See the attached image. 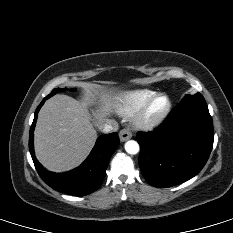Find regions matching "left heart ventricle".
Wrapping results in <instances>:
<instances>
[{
	"mask_svg": "<svg viewBox=\"0 0 233 233\" xmlns=\"http://www.w3.org/2000/svg\"><path fill=\"white\" fill-rule=\"evenodd\" d=\"M166 100L164 98L157 99L151 106L149 110V117L155 118L157 117L165 108Z\"/></svg>",
	"mask_w": 233,
	"mask_h": 233,
	"instance_id": "1",
	"label": "left heart ventricle"
}]
</instances>
